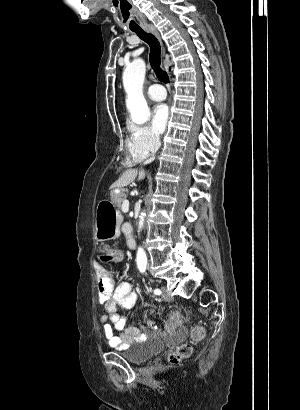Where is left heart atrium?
Wrapping results in <instances>:
<instances>
[{"instance_id":"39dd6f15","label":"left heart atrium","mask_w":300,"mask_h":410,"mask_svg":"<svg viewBox=\"0 0 300 410\" xmlns=\"http://www.w3.org/2000/svg\"><path fill=\"white\" fill-rule=\"evenodd\" d=\"M170 117L169 107L166 104H158L153 109L152 125L156 132L163 133Z\"/></svg>"}]
</instances>
